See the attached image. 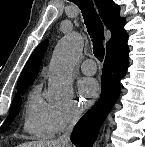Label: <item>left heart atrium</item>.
<instances>
[{
	"instance_id": "1",
	"label": "left heart atrium",
	"mask_w": 145,
	"mask_h": 147,
	"mask_svg": "<svg viewBox=\"0 0 145 147\" xmlns=\"http://www.w3.org/2000/svg\"><path fill=\"white\" fill-rule=\"evenodd\" d=\"M79 94L87 105L93 103L100 95V86L95 79L85 78L79 82Z\"/></svg>"
}]
</instances>
